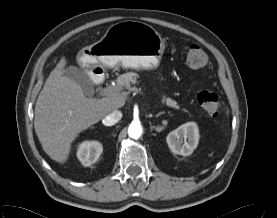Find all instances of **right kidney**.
Wrapping results in <instances>:
<instances>
[{"label": "right kidney", "mask_w": 277, "mask_h": 218, "mask_svg": "<svg viewBox=\"0 0 277 218\" xmlns=\"http://www.w3.org/2000/svg\"><path fill=\"white\" fill-rule=\"evenodd\" d=\"M103 147L98 141H84L77 150V158L83 166L88 167L100 157Z\"/></svg>", "instance_id": "ca27d5eb"}]
</instances>
